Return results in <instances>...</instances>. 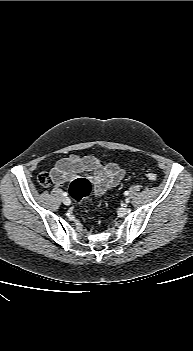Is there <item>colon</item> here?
I'll return each instance as SVG.
<instances>
[{"mask_svg":"<svg viewBox=\"0 0 193 351\" xmlns=\"http://www.w3.org/2000/svg\"><path fill=\"white\" fill-rule=\"evenodd\" d=\"M143 175L149 181H155L158 177L157 172L151 168L144 169ZM38 183L42 187H49L52 184V179L47 173H41L38 175ZM92 191L93 184L87 178H75L69 185V194L76 204H80L85 198L90 196Z\"/></svg>","mask_w":193,"mask_h":351,"instance_id":"5ec220e1","label":"colon"}]
</instances>
